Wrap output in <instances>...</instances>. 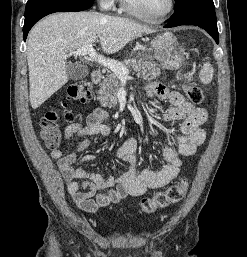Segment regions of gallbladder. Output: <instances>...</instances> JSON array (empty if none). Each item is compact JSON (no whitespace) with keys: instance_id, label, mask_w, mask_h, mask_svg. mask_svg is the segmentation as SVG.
I'll list each match as a JSON object with an SVG mask.
<instances>
[{"instance_id":"obj_1","label":"gallbladder","mask_w":247,"mask_h":257,"mask_svg":"<svg viewBox=\"0 0 247 257\" xmlns=\"http://www.w3.org/2000/svg\"><path fill=\"white\" fill-rule=\"evenodd\" d=\"M66 71L68 78L71 80H81L89 73L86 65L78 63H69L67 65Z\"/></svg>"}]
</instances>
